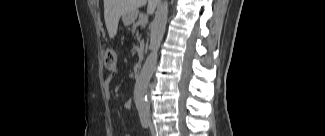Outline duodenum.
Wrapping results in <instances>:
<instances>
[{"mask_svg": "<svg viewBox=\"0 0 325 136\" xmlns=\"http://www.w3.org/2000/svg\"><path fill=\"white\" fill-rule=\"evenodd\" d=\"M141 70H142V63L141 62L136 63L133 69L134 75L135 76L139 75Z\"/></svg>", "mask_w": 325, "mask_h": 136, "instance_id": "1", "label": "duodenum"}]
</instances>
